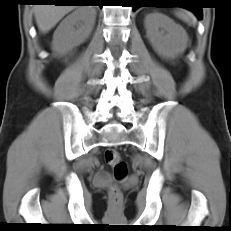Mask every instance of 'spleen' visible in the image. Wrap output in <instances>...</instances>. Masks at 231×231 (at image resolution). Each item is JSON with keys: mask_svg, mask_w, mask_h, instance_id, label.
Wrapping results in <instances>:
<instances>
[{"mask_svg": "<svg viewBox=\"0 0 231 231\" xmlns=\"http://www.w3.org/2000/svg\"><path fill=\"white\" fill-rule=\"evenodd\" d=\"M177 15L178 17H180L183 21L187 23H191V24L195 23V20L193 19V17L188 13L178 12Z\"/></svg>", "mask_w": 231, "mask_h": 231, "instance_id": "spleen-1", "label": "spleen"}]
</instances>
